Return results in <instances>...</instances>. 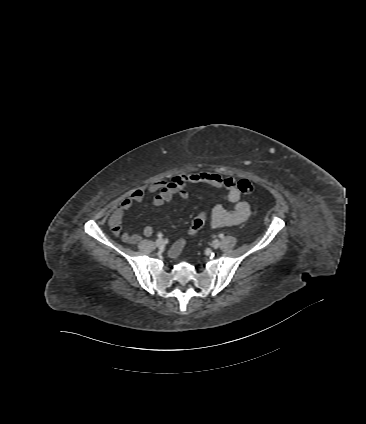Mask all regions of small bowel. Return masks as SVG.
<instances>
[{
  "label": "small bowel",
  "mask_w": 366,
  "mask_h": 424,
  "mask_svg": "<svg viewBox=\"0 0 366 424\" xmlns=\"http://www.w3.org/2000/svg\"><path fill=\"white\" fill-rule=\"evenodd\" d=\"M238 182L232 176L202 172L178 174L170 180H161L137 188L124 197L112 213L109 219L110 229L115 236L120 237L125 243H139L143 238L141 234L129 233L122 228V221L126 211L133 205L140 203L147 194L154 195L152 203L155 207H162L171 202L174 196L188 200L190 197L188 186L192 184H205L212 188L224 189L228 200L234 205L231 210L226 209L221 204L214 205L211 210V227L223 228L245 223L251 215V207L247 201L241 200L242 193L238 188ZM153 233V227L146 226L142 234L145 237H150ZM184 243L183 239L177 240L170 250V255L172 257L178 256L184 247Z\"/></svg>",
  "instance_id": "obj_1"
}]
</instances>
